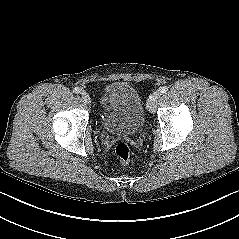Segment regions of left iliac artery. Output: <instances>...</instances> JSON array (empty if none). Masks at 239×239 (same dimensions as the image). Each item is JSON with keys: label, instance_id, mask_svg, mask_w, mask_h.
I'll return each mask as SVG.
<instances>
[{"label": "left iliac artery", "instance_id": "left-iliac-artery-1", "mask_svg": "<svg viewBox=\"0 0 239 239\" xmlns=\"http://www.w3.org/2000/svg\"><path fill=\"white\" fill-rule=\"evenodd\" d=\"M159 91H160V93L164 94L168 91V87L167 86H162V87L159 88Z\"/></svg>", "mask_w": 239, "mask_h": 239}]
</instances>
